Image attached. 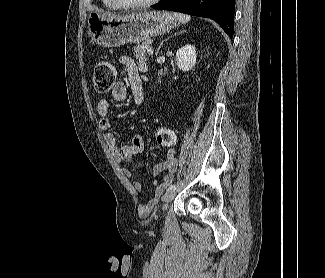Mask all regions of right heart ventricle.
I'll use <instances>...</instances> for the list:
<instances>
[{
  "instance_id": "obj_1",
  "label": "right heart ventricle",
  "mask_w": 325,
  "mask_h": 278,
  "mask_svg": "<svg viewBox=\"0 0 325 278\" xmlns=\"http://www.w3.org/2000/svg\"><path fill=\"white\" fill-rule=\"evenodd\" d=\"M103 6L107 9V10H118L120 9L119 6H117L112 0H101Z\"/></svg>"
}]
</instances>
